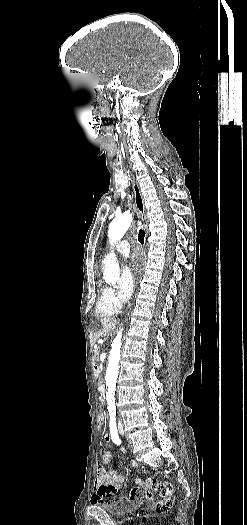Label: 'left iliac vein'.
<instances>
[{"instance_id": "4c4485c4", "label": "left iliac vein", "mask_w": 247, "mask_h": 525, "mask_svg": "<svg viewBox=\"0 0 247 525\" xmlns=\"http://www.w3.org/2000/svg\"><path fill=\"white\" fill-rule=\"evenodd\" d=\"M119 433H120L121 435H123V433H124L122 426L119 427Z\"/></svg>"}]
</instances>
